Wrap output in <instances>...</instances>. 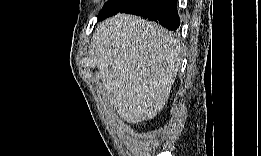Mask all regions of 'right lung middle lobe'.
<instances>
[{"label":"right lung middle lobe","mask_w":261,"mask_h":156,"mask_svg":"<svg viewBox=\"0 0 261 156\" xmlns=\"http://www.w3.org/2000/svg\"><path fill=\"white\" fill-rule=\"evenodd\" d=\"M130 2H132V0H108L105 3L102 11L100 12L98 20H103L119 12L120 10L125 8Z\"/></svg>","instance_id":"obj_1"}]
</instances>
